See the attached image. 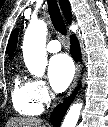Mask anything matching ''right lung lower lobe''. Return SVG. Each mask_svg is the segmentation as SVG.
Masks as SVG:
<instances>
[{"label":"right lung lower lobe","mask_w":108,"mask_h":127,"mask_svg":"<svg viewBox=\"0 0 108 127\" xmlns=\"http://www.w3.org/2000/svg\"><path fill=\"white\" fill-rule=\"evenodd\" d=\"M70 40H71V46H70L71 55L73 56L74 60L78 61L81 59V51H80L78 40L74 35L70 37ZM73 98L74 95H72L68 100H65L64 104H60L54 109L51 116L52 124L58 125L61 122Z\"/></svg>","instance_id":"obj_1"}]
</instances>
